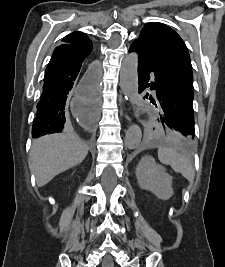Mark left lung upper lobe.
Returning a JSON list of instances; mask_svg holds the SVG:
<instances>
[{"instance_id": "left-lung-upper-lobe-1", "label": "left lung upper lobe", "mask_w": 225, "mask_h": 267, "mask_svg": "<svg viewBox=\"0 0 225 267\" xmlns=\"http://www.w3.org/2000/svg\"><path fill=\"white\" fill-rule=\"evenodd\" d=\"M137 41L153 57L181 61L192 67L187 47L181 37L162 23L147 24L142 29ZM159 122L160 127L170 139L184 147L192 146L193 142L186 138L180 130L161 119Z\"/></svg>"}]
</instances>
